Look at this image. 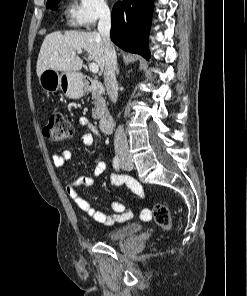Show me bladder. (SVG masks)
Segmentation results:
<instances>
[{
  "label": "bladder",
  "instance_id": "31cf9c89",
  "mask_svg": "<svg viewBox=\"0 0 247 296\" xmlns=\"http://www.w3.org/2000/svg\"><path fill=\"white\" fill-rule=\"evenodd\" d=\"M141 228H142V225L139 223L127 224L108 232L105 238L109 242L124 241L136 235L141 230Z\"/></svg>",
  "mask_w": 247,
  "mask_h": 296
}]
</instances>
